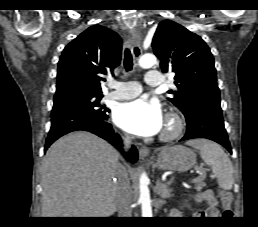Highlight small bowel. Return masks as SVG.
Returning a JSON list of instances; mask_svg holds the SVG:
<instances>
[{
	"label": "small bowel",
	"mask_w": 258,
	"mask_h": 227,
	"mask_svg": "<svg viewBox=\"0 0 258 227\" xmlns=\"http://www.w3.org/2000/svg\"><path fill=\"white\" fill-rule=\"evenodd\" d=\"M192 201L195 203H200L202 201H205L208 203L209 207L204 211L200 213H196L198 216H203L207 218H215L219 216V203L211 190L203 191L197 195H195L192 198ZM189 206V203H185L181 208H186ZM180 213V210H176L172 212V215H176Z\"/></svg>",
	"instance_id": "c3829d8e"
}]
</instances>
